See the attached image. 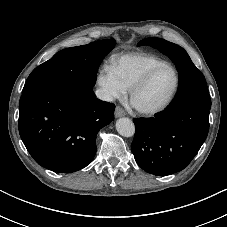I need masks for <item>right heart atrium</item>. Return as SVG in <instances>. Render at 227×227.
Masks as SVG:
<instances>
[{
  "instance_id": "obj_1",
  "label": "right heart atrium",
  "mask_w": 227,
  "mask_h": 227,
  "mask_svg": "<svg viewBox=\"0 0 227 227\" xmlns=\"http://www.w3.org/2000/svg\"><path fill=\"white\" fill-rule=\"evenodd\" d=\"M97 83L102 91L103 97L112 101L120 99L125 94V88L117 79L111 66H103L97 74Z\"/></svg>"
}]
</instances>
